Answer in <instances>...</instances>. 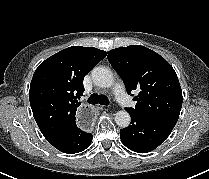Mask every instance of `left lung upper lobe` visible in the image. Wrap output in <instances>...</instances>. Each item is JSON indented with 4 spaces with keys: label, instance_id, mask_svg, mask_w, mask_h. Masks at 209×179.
I'll return each instance as SVG.
<instances>
[{
    "label": "left lung upper lobe",
    "instance_id": "1",
    "mask_svg": "<svg viewBox=\"0 0 209 179\" xmlns=\"http://www.w3.org/2000/svg\"><path fill=\"white\" fill-rule=\"evenodd\" d=\"M107 57L124 81L127 92L139 91L134 98L135 108L126 110L177 123L183 102L182 90L176 72L163 57L139 45L110 50Z\"/></svg>",
    "mask_w": 209,
    "mask_h": 179
}]
</instances>
